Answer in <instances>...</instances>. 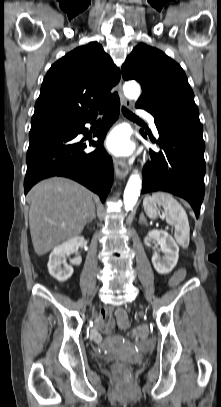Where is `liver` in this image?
Here are the masks:
<instances>
[{
  "instance_id": "liver-1",
  "label": "liver",
  "mask_w": 221,
  "mask_h": 407,
  "mask_svg": "<svg viewBox=\"0 0 221 407\" xmlns=\"http://www.w3.org/2000/svg\"><path fill=\"white\" fill-rule=\"evenodd\" d=\"M29 227L35 253L42 256L81 234L93 214L92 193L62 177L37 183L28 193Z\"/></svg>"
}]
</instances>
